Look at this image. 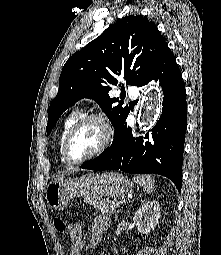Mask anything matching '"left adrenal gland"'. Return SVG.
I'll return each instance as SVG.
<instances>
[{
	"label": "left adrenal gland",
	"mask_w": 221,
	"mask_h": 255,
	"mask_svg": "<svg viewBox=\"0 0 221 255\" xmlns=\"http://www.w3.org/2000/svg\"><path fill=\"white\" fill-rule=\"evenodd\" d=\"M115 220H117V215L115 216Z\"/></svg>",
	"instance_id": "obj_1"
}]
</instances>
